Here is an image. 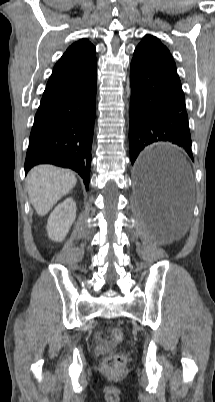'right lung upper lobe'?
Here are the masks:
<instances>
[{
	"label": "right lung upper lobe",
	"instance_id": "right-lung-upper-lobe-1",
	"mask_svg": "<svg viewBox=\"0 0 215 402\" xmlns=\"http://www.w3.org/2000/svg\"><path fill=\"white\" fill-rule=\"evenodd\" d=\"M95 47L87 39L73 43L58 60L41 102L55 98L88 82L97 74Z\"/></svg>",
	"mask_w": 215,
	"mask_h": 402
}]
</instances>
